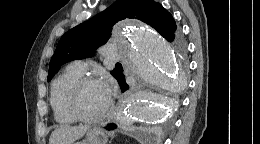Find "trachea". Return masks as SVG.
<instances>
[{
  "label": "trachea",
  "instance_id": "obj_1",
  "mask_svg": "<svg viewBox=\"0 0 260 144\" xmlns=\"http://www.w3.org/2000/svg\"><path fill=\"white\" fill-rule=\"evenodd\" d=\"M116 65H121V63H116Z\"/></svg>",
  "mask_w": 260,
  "mask_h": 144
}]
</instances>
